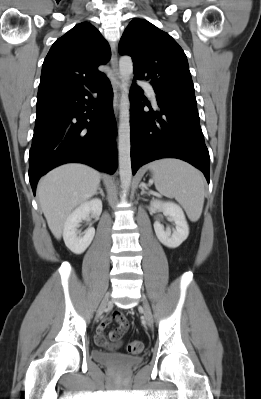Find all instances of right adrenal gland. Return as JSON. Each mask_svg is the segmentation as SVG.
<instances>
[{"instance_id":"2a0ac1e0","label":"right adrenal gland","mask_w":261,"mask_h":399,"mask_svg":"<svg viewBox=\"0 0 261 399\" xmlns=\"http://www.w3.org/2000/svg\"><path fill=\"white\" fill-rule=\"evenodd\" d=\"M99 193L101 194V196L103 198L105 197V194H104L103 189L101 188V186L98 187V192H96L95 195H98Z\"/></svg>"}]
</instances>
